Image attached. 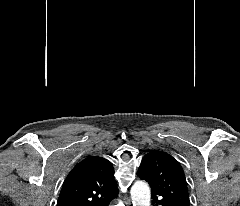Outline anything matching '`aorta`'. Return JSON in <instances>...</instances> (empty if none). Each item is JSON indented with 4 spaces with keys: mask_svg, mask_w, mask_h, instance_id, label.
Segmentation results:
<instances>
[{
    "mask_svg": "<svg viewBox=\"0 0 240 206\" xmlns=\"http://www.w3.org/2000/svg\"><path fill=\"white\" fill-rule=\"evenodd\" d=\"M130 194L133 206H150L151 193L146 182H135L131 187Z\"/></svg>",
    "mask_w": 240,
    "mask_h": 206,
    "instance_id": "obj_1",
    "label": "aorta"
}]
</instances>
